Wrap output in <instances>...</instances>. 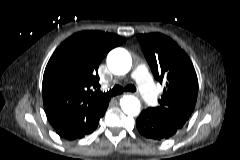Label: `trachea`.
Listing matches in <instances>:
<instances>
[{
	"instance_id": "obj_1",
	"label": "trachea",
	"mask_w": 240,
	"mask_h": 160,
	"mask_svg": "<svg viewBox=\"0 0 240 160\" xmlns=\"http://www.w3.org/2000/svg\"><path fill=\"white\" fill-rule=\"evenodd\" d=\"M123 91L126 92H135L136 87L134 85H127L125 88L121 87L120 85L114 86L110 91H107V93H104V95L113 97L119 94H122ZM101 93V92H100Z\"/></svg>"
}]
</instances>
